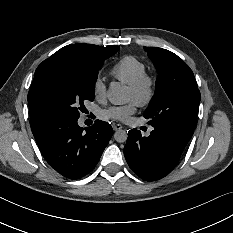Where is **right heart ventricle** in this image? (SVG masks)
Returning <instances> with one entry per match:
<instances>
[{"label":"right heart ventricle","instance_id":"1","mask_svg":"<svg viewBox=\"0 0 233 233\" xmlns=\"http://www.w3.org/2000/svg\"><path fill=\"white\" fill-rule=\"evenodd\" d=\"M146 71L145 64L133 55H126L113 66L111 74L123 84L130 85Z\"/></svg>","mask_w":233,"mask_h":233}]
</instances>
